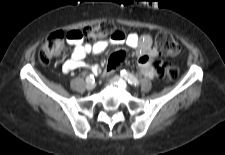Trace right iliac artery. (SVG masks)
Here are the masks:
<instances>
[{
    "label": "right iliac artery",
    "mask_w": 225,
    "mask_h": 155,
    "mask_svg": "<svg viewBox=\"0 0 225 155\" xmlns=\"http://www.w3.org/2000/svg\"><path fill=\"white\" fill-rule=\"evenodd\" d=\"M93 81H94V76L92 74L86 77V82H93Z\"/></svg>",
    "instance_id": "82829eb1"
}]
</instances>
